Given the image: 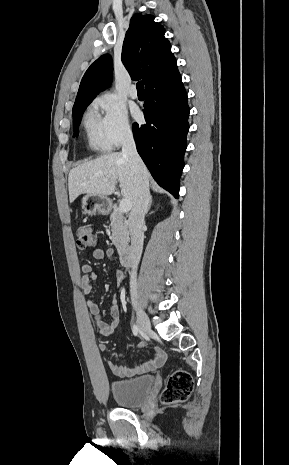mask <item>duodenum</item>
<instances>
[{"instance_id":"obj_1","label":"duodenum","mask_w":289,"mask_h":465,"mask_svg":"<svg viewBox=\"0 0 289 465\" xmlns=\"http://www.w3.org/2000/svg\"><path fill=\"white\" fill-rule=\"evenodd\" d=\"M134 250L132 247H125L121 252V262L124 266L129 267L134 262Z\"/></svg>"}]
</instances>
